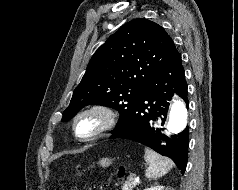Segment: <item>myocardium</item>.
<instances>
[{"label":"myocardium","mask_w":238,"mask_h":190,"mask_svg":"<svg viewBox=\"0 0 238 190\" xmlns=\"http://www.w3.org/2000/svg\"><path fill=\"white\" fill-rule=\"evenodd\" d=\"M95 116L99 119L98 127L88 134H83L79 130V123L82 119ZM117 123L115 111L104 104H93L79 111L73 119L72 129L75 136L83 141L94 140L114 128Z\"/></svg>","instance_id":"f54148a6"}]
</instances>
